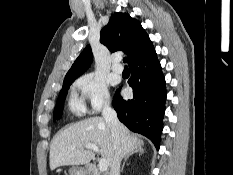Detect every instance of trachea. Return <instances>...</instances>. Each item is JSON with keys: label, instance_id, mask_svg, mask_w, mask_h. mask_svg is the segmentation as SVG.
Masks as SVG:
<instances>
[{"label": "trachea", "instance_id": "trachea-1", "mask_svg": "<svg viewBox=\"0 0 233 175\" xmlns=\"http://www.w3.org/2000/svg\"><path fill=\"white\" fill-rule=\"evenodd\" d=\"M123 62L126 63L127 62V57L123 58Z\"/></svg>", "mask_w": 233, "mask_h": 175}]
</instances>
